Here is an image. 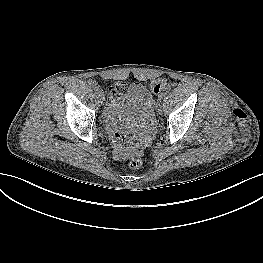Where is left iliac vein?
<instances>
[{
	"label": "left iliac vein",
	"mask_w": 263,
	"mask_h": 263,
	"mask_svg": "<svg viewBox=\"0 0 263 263\" xmlns=\"http://www.w3.org/2000/svg\"><path fill=\"white\" fill-rule=\"evenodd\" d=\"M153 100L155 101V103H160L162 101V98L160 96H158V95H155L153 97Z\"/></svg>",
	"instance_id": "left-iliac-vein-1"
}]
</instances>
